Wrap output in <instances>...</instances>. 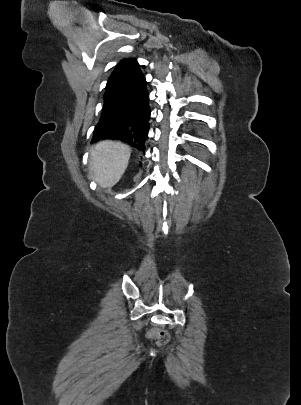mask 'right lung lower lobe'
Returning <instances> with one entry per match:
<instances>
[{
    "instance_id": "98d812e1",
    "label": "right lung lower lobe",
    "mask_w": 301,
    "mask_h": 405,
    "mask_svg": "<svg viewBox=\"0 0 301 405\" xmlns=\"http://www.w3.org/2000/svg\"><path fill=\"white\" fill-rule=\"evenodd\" d=\"M148 101L146 80L134 59L117 79L106 86L104 105L92 142L119 140L145 149L150 118Z\"/></svg>"
}]
</instances>
